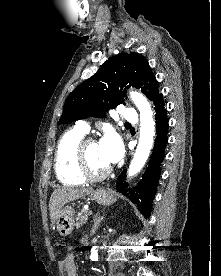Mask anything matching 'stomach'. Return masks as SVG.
<instances>
[{"label": "stomach", "mask_w": 221, "mask_h": 276, "mask_svg": "<svg viewBox=\"0 0 221 276\" xmlns=\"http://www.w3.org/2000/svg\"><path fill=\"white\" fill-rule=\"evenodd\" d=\"M91 199L101 205H110L116 201L115 194L110 190L98 189L91 193ZM74 209L66 205L56 220V229L63 237L72 233L74 228Z\"/></svg>", "instance_id": "0dacf381"}]
</instances>
